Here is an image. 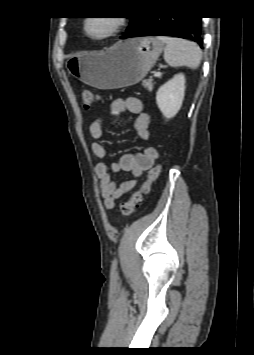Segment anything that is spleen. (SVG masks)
Listing matches in <instances>:
<instances>
[{
    "instance_id": "3e777b00",
    "label": "spleen",
    "mask_w": 254,
    "mask_h": 355,
    "mask_svg": "<svg viewBox=\"0 0 254 355\" xmlns=\"http://www.w3.org/2000/svg\"><path fill=\"white\" fill-rule=\"evenodd\" d=\"M157 38L166 44L164 60L170 66L198 68L202 59V51L196 43L166 36H158Z\"/></svg>"
}]
</instances>
